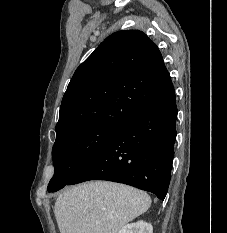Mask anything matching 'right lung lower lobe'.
Listing matches in <instances>:
<instances>
[{
	"instance_id": "right-lung-lower-lobe-1",
	"label": "right lung lower lobe",
	"mask_w": 227,
	"mask_h": 233,
	"mask_svg": "<svg viewBox=\"0 0 227 233\" xmlns=\"http://www.w3.org/2000/svg\"><path fill=\"white\" fill-rule=\"evenodd\" d=\"M177 106L175 92L123 124L67 185L108 180L164 199L170 183Z\"/></svg>"
}]
</instances>
